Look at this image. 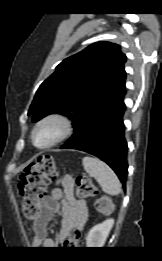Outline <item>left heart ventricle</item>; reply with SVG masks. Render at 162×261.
<instances>
[{
	"label": "left heart ventricle",
	"mask_w": 162,
	"mask_h": 261,
	"mask_svg": "<svg viewBox=\"0 0 162 261\" xmlns=\"http://www.w3.org/2000/svg\"><path fill=\"white\" fill-rule=\"evenodd\" d=\"M56 133V127L54 125H46L39 129L35 135V142L37 145H43L47 143Z\"/></svg>",
	"instance_id": "obj_1"
}]
</instances>
